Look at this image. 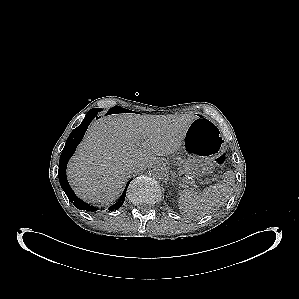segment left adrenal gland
<instances>
[{"instance_id": "obj_1", "label": "left adrenal gland", "mask_w": 299, "mask_h": 299, "mask_svg": "<svg viewBox=\"0 0 299 299\" xmlns=\"http://www.w3.org/2000/svg\"><path fill=\"white\" fill-rule=\"evenodd\" d=\"M176 180L174 179V176H173V179H172V182H175Z\"/></svg>"}]
</instances>
